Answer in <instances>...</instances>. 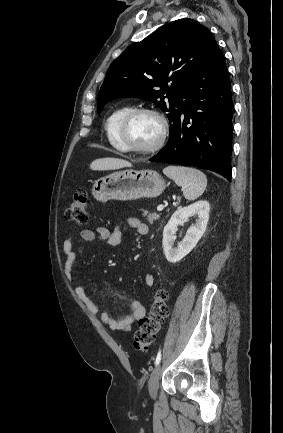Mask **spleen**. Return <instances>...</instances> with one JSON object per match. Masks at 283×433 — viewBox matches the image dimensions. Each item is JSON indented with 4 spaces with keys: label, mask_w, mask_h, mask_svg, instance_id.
I'll return each instance as SVG.
<instances>
[{
    "label": "spleen",
    "mask_w": 283,
    "mask_h": 433,
    "mask_svg": "<svg viewBox=\"0 0 283 433\" xmlns=\"http://www.w3.org/2000/svg\"><path fill=\"white\" fill-rule=\"evenodd\" d=\"M164 174L173 178L178 186H185L183 194L187 200H195L200 194H203L207 186V178L204 172L190 166H165Z\"/></svg>",
    "instance_id": "3e777b00"
}]
</instances>
